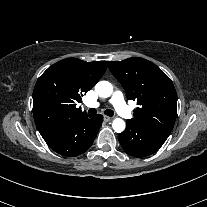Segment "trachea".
Instances as JSON below:
<instances>
[{
  "label": "trachea",
  "instance_id": "obj_1",
  "mask_svg": "<svg viewBox=\"0 0 207 207\" xmlns=\"http://www.w3.org/2000/svg\"><path fill=\"white\" fill-rule=\"evenodd\" d=\"M96 113H97V110H96L95 108H90V109L88 110V114H89V115H94V114H96ZM104 113H105L107 116H110V117L114 115V112H113L112 110H110V109L105 110Z\"/></svg>",
  "mask_w": 207,
  "mask_h": 207
}]
</instances>
